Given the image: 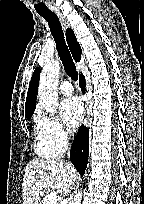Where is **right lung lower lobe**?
<instances>
[{"label":"right lung lower lobe","instance_id":"obj_1","mask_svg":"<svg viewBox=\"0 0 144 204\" xmlns=\"http://www.w3.org/2000/svg\"><path fill=\"white\" fill-rule=\"evenodd\" d=\"M79 84L81 90L85 92V80L82 74L80 75ZM88 148H89V130L85 126H81L70 151V160L81 176L84 175L85 169L87 167Z\"/></svg>","mask_w":144,"mask_h":204}]
</instances>
